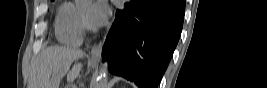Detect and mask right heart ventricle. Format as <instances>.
Segmentation results:
<instances>
[{
  "label": "right heart ventricle",
  "mask_w": 267,
  "mask_h": 88,
  "mask_svg": "<svg viewBox=\"0 0 267 88\" xmlns=\"http://www.w3.org/2000/svg\"><path fill=\"white\" fill-rule=\"evenodd\" d=\"M56 35L59 41L65 45L80 44L82 36L80 11L75 4L67 2L59 8Z\"/></svg>",
  "instance_id": "obj_1"
}]
</instances>
